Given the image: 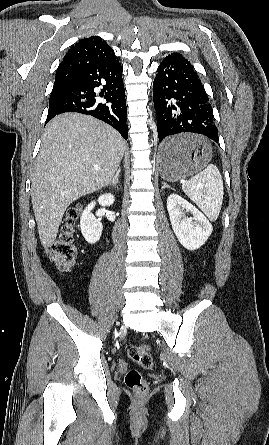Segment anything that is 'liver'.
Masks as SVG:
<instances>
[{
	"label": "liver",
	"instance_id": "obj_1",
	"mask_svg": "<svg viewBox=\"0 0 269 445\" xmlns=\"http://www.w3.org/2000/svg\"><path fill=\"white\" fill-rule=\"evenodd\" d=\"M125 148L114 128L91 116L64 113L47 124L31 178V200L44 248L56 239L68 206L112 180Z\"/></svg>",
	"mask_w": 269,
	"mask_h": 445
}]
</instances>
